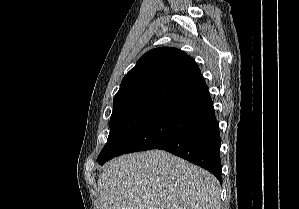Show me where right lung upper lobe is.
<instances>
[{
	"mask_svg": "<svg viewBox=\"0 0 299 209\" xmlns=\"http://www.w3.org/2000/svg\"><path fill=\"white\" fill-rule=\"evenodd\" d=\"M201 75L192 57L173 47L146 52L123 78L113 108L140 102H164L183 85Z\"/></svg>",
	"mask_w": 299,
	"mask_h": 209,
	"instance_id": "obj_1",
	"label": "right lung upper lobe"
}]
</instances>
